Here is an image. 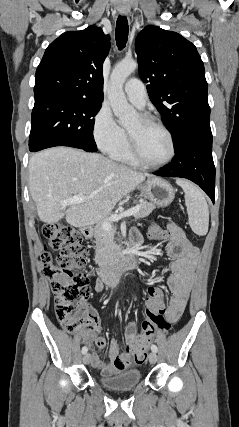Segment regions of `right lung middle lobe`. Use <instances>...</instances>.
I'll use <instances>...</instances> for the list:
<instances>
[{"instance_id":"1","label":"right lung middle lobe","mask_w":239,"mask_h":427,"mask_svg":"<svg viewBox=\"0 0 239 427\" xmlns=\"http://www.w3.org/2000/svg\"><path fill=\"white\" fill-rule=\"evenodd\" d=\"M101 105V102L69 98L35 100L29 150L70 146L88 152L96 151L93 117Z\"/></svg>"}]
</instances>
